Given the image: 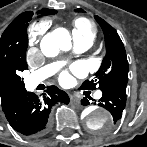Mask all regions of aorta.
Instances as JSON below:
<instances>
[{
  "label": "aorta",
  "instance_id": "aorta-1",
  "mask_svg": "<svg viewBox=\"0 0 147 147\" xmlns=\"http://www.w3.org/2000/svg\"><path fill=\"white\" fill-rule=\"evenodd\" d=\"M41 51L46 57H55L60 50L68 51L71 48V37L65 29H57L45 35L40 44ZM83 120L92 130H104L111 126L112 116L104 108L87 107L82 112Z\"/></svg>",
  "mask_w": 147,
  "mask_h": 147
}]
</instances>
